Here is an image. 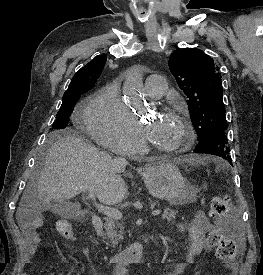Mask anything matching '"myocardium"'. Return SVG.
Returning <instances> with one entry per match:
<instances>
[{
	"label": "myocardium",
	"instance_id": "f54148a6",
	"mask_svg": "<svg viewBox=\"0 0 263 275\" xmlns=\"http://www.w3.org/2000/svg\"><path fill=\"white\" fill-rule=\"evenodd\" d=\"M166 114L174 118L180 125L181 136L178 142L173 146L166 147L153 144L150 140H147L149 146L162 154H174L190 148L194 138V130L190 120L184 114L176 110H170Z\"/></svg>",
	"mask_w": 263,
	"mask_h": 275
}]
</instances>
